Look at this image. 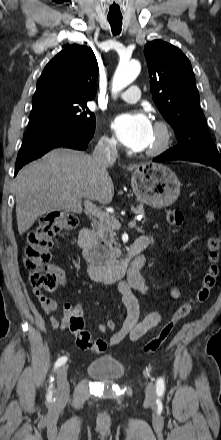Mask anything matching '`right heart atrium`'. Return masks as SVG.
I'll return each mask as SVG.
<instances>
[{
  "mask_svg": "<svg viewBox=\"0 0 221 440\" xmlns=\"http://www.w3.org/2000/svg\"><path fill=\"white\" fill-rule=\"evenodd\" d=\"M101 147L109 152H114L118 149L119 144L117 139L114 136L104 134L100 139Z\"/></svg>",
  "mask_w": 221,
  "mask_h": 440,
  "instance_id": "1",
  "label": "right heart atrium"
}]
</instances>
